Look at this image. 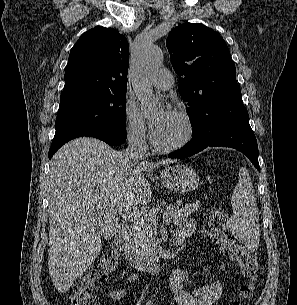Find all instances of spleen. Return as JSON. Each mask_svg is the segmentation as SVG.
<instances>
[{
    "label": "spleen",
    "instance_id": "3e777b00",
    "mask_svg": "<svg viewBox=\"0 0 297 305\" xmlns=\"http://www.w3.org/2000/svg\"><path fill=\"white\" fill-rule=\"evenodd\" d=\"M231 205L233 215L228 219L231 232L248 248L257 249L260 239L259 212L251 178L245 167L239 168Z\"/></svg>",
    "mask_w": 297,
    "mask_h": 305
}]
</instances>
